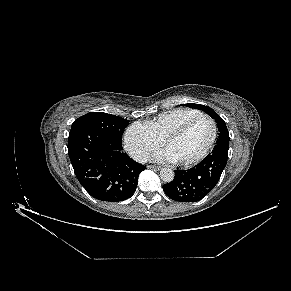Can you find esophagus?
<instances>
[{
	"label": "esophagus",
	"instance_id": "1",
	"mask_svg": "<svg viewBox=\"0 0 291 291\" xmlns=\"http://www.w3.org/2000/svg\"><path fill=\"white\" fill-rule=\"evenodd\" d=\"M149 169H154V170H160L161 169V167H159V166H155V165H148L147 166Z\"/></svg>",
	"mask_w": 291,
	"mask_h": 291
}]
</instances>
